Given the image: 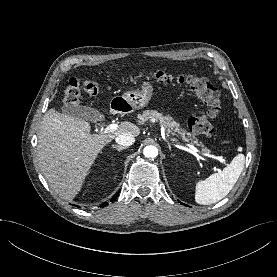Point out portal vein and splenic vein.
<instances>
[{
    "label": "portal vein and splenic vein",
    "instance_id": "1",
    "mask_svg": "<svg viewBox=\"0 0 277 277\" xmlns=\"http://www.w3.org/2000/svg\"><path fill=\"white\" fill-rule=\"evenodd\" d=\"M118 125L117 124H109L105 130H104V133H108V132H113L115 130L118 129ZM188 147H190L195 153H199L200 151L195 147L193 146L192 144H186ZM202 155L205 156V157H208V158H213V159H217L219 161H221V157L219 156H215V155H212L210 154V151L209 150H202Z\"/></svg>",
    "mask_w": 277,
    "mask_h": 277
}]
</instances>
